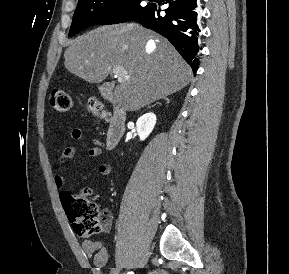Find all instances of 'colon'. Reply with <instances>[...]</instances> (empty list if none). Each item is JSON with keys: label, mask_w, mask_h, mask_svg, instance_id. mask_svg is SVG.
<instances>
[{"label": "colon", "mask_w": 289, "mask_h": 274, "mask_svg": "<svg viewBox=\"0 0 289 274\" xmlns=\"http://www.w3.org/2000/svg\"><path fill=\"white\" fill-rule=\"evenodd\" d=\"M48 99L50 106L59 112L69 111L74 106L72 96L61 89L51 90ZM87 108L102 119L107 117L102 104L96 99H89ZM89 195V189H84L79 194L64 191L61 195L62 203L74 231L83 237L106 232L112 222L111 213L108 210H102L96 202L89 198Z\"/></svg>", "instance_id": "colon-1"}]
</instances>
